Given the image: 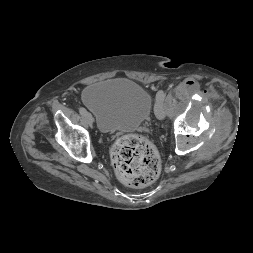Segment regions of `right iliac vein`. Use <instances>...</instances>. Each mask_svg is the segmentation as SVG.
<instances>
[{
	"label": "right iliac vein",
	"mask_w": 253,
	"mask_h": 253,
	"mask_svg": "<svg viewBox=\"0 0 253 253\" xmlns=\"http://www.w3.org/2000/svg\"><path fill=\"white\" fill-rule=\"evenodd\" d=\"M83 116L89 125H91L93 123V117L89 112H86Z\"/></svg>",
	"instance_id": "1"
}]
</instances>
